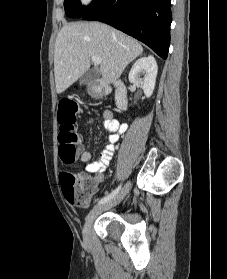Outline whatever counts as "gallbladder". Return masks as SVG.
I'll list each match as a JSON object with an SVG mask.
<instances>
[{"label":"gallbladder","instance_id":"obj_1","mask_svg":"<svg viewBox=\"0 0 227 279\" xmlns=\"http://www.w3.org/2000/svg\"><path fill=\"white\" fill-rule=\"evenodd\" d=\"M99 77V72L96 70H88L86 71L82 77L80 78V85L90 86L94 83V81Z\"/></svg>","mask_w":227,"mask_h":279}]
</instances>
